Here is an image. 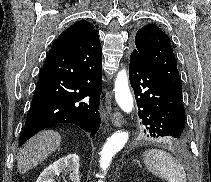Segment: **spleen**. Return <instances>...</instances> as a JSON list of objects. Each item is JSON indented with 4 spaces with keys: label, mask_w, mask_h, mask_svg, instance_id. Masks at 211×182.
<instances>
[{
    "label": "spleen",
    "mask_w": 211,
    "mask_h": 182,
    "mask_svg": "<svg viewBox=\"0 0 211 182\" xmlns=\"http://www.w3.org/2000/svg\"><path fill=\"white\" fill-rule=\"evenodd\" d=\"M146 168L153 175L168 182H187L183 166L168 152L149 149L143 154Z\"/></svg>",
    "instance_id": "obj_1"
}]
</instances>
